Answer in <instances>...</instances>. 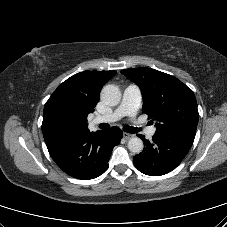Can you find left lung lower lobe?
Here are the masks:
<instances>
[{"instance_id": "obj_1", "label": "left lung lower lobe", "mask_w": 227, "mask_h": 227, "mask_svg": "<svg viewBox=\"0 0 227 227\" xmlns=\"http://www.w3.org/2000/svg\"><path fill=\"white\" fill-rule=\"evenodd\" d=\"M144 141L143 151L133 157V163L142 173L160 176L175 169L190 150L194 139L180 134L156 131L152 141Z\"/></svg>"}]
</instances>
